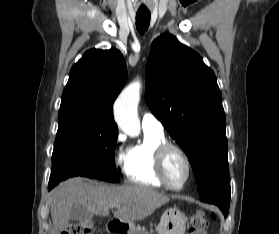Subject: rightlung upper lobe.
<instances>
[{
	"mask_svg": "<svg viewBox=\"0 0 279 234\" xmlns=\"http://www.w3.org/2000/svg\"><path fill=\"white\" fill-rule=\"evenodd\" d=\"M126 80V64L116 48L86 51L71 68L59 116L82 115L117 129L112 106Z\"/></svg>",
	"mask_w": 279,
	"mask_h": 234,
	"instance_id": "1",
	"label": "right lung upper lobe"
}]
</instances>
